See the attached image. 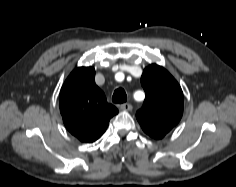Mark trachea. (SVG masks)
<instances>
[{
    "label": "trachea",
    "instance_id": "obj_1",
    "mask_svg": "<svg viewBox=\"0 0 236 187\" xmlns=\"http://www.w3.org/2000/svg\"><path fill=\"white\" fill-rule=\"evenodd\" d=\"M126 100H127V95H126V92L124 91V89L117 88L113 93L112 101L114 103L121 104V103L126 102Z\"/></svg>",
    "mask_w": 236,
    "mask_h": 187
}]
</instances>
